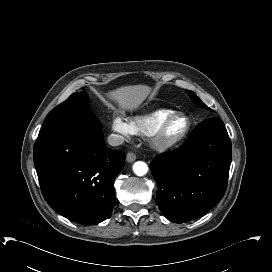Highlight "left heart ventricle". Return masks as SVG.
Returning a JSON list of instances; mask_svg holds the SVG:
<instances>
[{
  "instance_id": "obj_1",
  "label": "left heart ventricle",
  "mask_w": 272,
  "mask_h": 272,
  "mask_svg": "<svg viewBox=\"0 0 272 272\" xmlns=\"http://www.w3.org/2000/svg\"><path fill=\"white\" fill-rule=\"evenodd\" d=\"M184 126H185L184 119H178V120L174 121L172 123V125L170 126V128L167 132V135L175 136V135L179 134L183 130Z\"/></svg>"
}]
</instances>
